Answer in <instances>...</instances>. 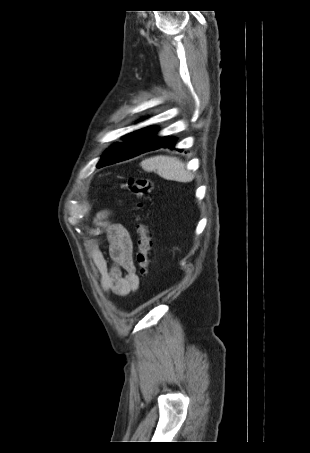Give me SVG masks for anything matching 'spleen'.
Instances as JSON below:
<instances>
[{"label":"spleen","instance_id":"1","mask_svg":"<svg viewBox=\"0 0 310 453\" xmlns=\"http://www.w3.org/2000/svg\"><path fill=\"white\" fill-rule=\"evenodd\" d=\"M141 167L148 172L157 171V174L166 179L177 182H190L194 175L187 170L185 164L172 156H155L141 162Z\"/></svg>","mask_w":310,"mask_h":453}]
</instances>
